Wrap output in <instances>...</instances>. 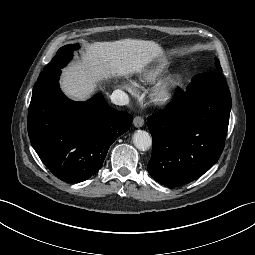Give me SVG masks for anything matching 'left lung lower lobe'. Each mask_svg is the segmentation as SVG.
<instances>
[{
  "instance_id": "1",
  "label": "left lung lower lobe",
  "mask_w": 255,
  "mask_h": 255,
  "mask_svg": "<svg viewBox=\"0 0 255 255\" xmlns=\"http://www.w3.org/2000/svg\"><path fill=\"white\" fill-rule=\"evenodd\" d=\"M230 110L221 72L196 75L176 102L147 119L153 138L149 174L171 187L202 176L223 151Z\"/></svg>"
}]
</instances>
